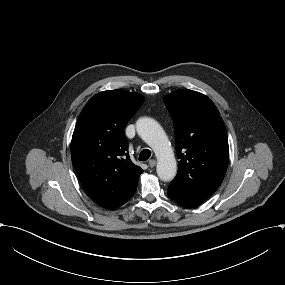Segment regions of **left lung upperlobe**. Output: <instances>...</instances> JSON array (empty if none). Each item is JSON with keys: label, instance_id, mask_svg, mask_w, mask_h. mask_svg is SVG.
<instances>
[{"label": "left lung upper lobe", "instance_id": "left-lung-upper-lobe-1", "mask_svg": "<svg viewBox=\"0 0 285 285\" xmlns=\"http://www.w3.org/2000/svg\"><path fill=\"white\" fill-rule=\"evenodd\" d=\"M174 121L176 152L180 159L170 185L206 200L222 183L229 161L225 124L214 103L187 89L163 97Z\"/></svg>", "mask_w": 285, "mask_h": 285}]
</instances>
